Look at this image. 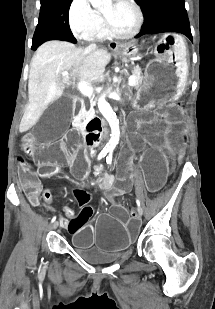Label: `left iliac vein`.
<instances>
[{
    "label": "left iliac vein",
    "mask_w": 215,
    "mask_h": 309,
    "mask_svg": "<svg viewBox=\"0 0 215 309\" xmlns=\"http://www.w3.org/2000/svg\"><path fill=\"white\" fill-rule=\"evenodd\" d=\"M142 213H143V212H142ZM142 213H141L140 211H138V215H139V216H141V215H142Z\"/></svg>",
    "instance_id": "4c4485c4"
}]
</instances>
